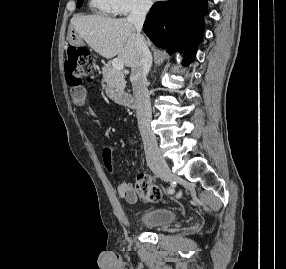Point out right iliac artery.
<instances>
[{"mask_svg":"<svg viewBox=\"0 0 286 269\" xmlns=\"http://www.w3.org/2000/svg\"><path fill=\"white\" fill-rule=\"evenodd\" d=\"M168 192H169V193H171V192H172V190H171V189H168Z\"/></svg>","mask_w":286,"mask_h":269,"instance_id":"1","label":"right iliac artery"}]
</instances>
